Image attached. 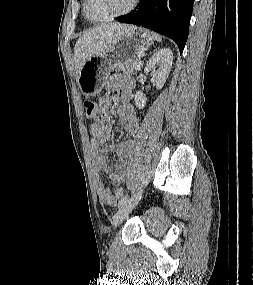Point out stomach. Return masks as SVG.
I'll use <instances>...</instances> for the list:
<instances>
[{
	"instance_id": "stomach-1",
	"label": "stomach",
	"mask_w": 253,
	"mask_h": 285,
	"mask_svg": "<svg viewBox=\"0 0 253 285\" xmlns=\"http://www.w3.org/2000/svg\"><path fill=\"white\" fill-rule=\"evenodd\" d=\"M153 43L152 34L133 26L103 51L90 57L77 75V84L86 97L101 92L110 72L132 62H138Z\"/></svg>"
}]
</instances>
